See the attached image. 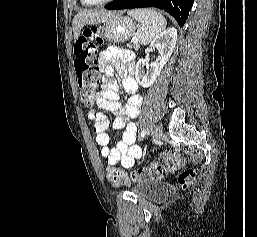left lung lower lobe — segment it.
Wrapping results in <instances>:
<instances>
[{
    "instance_id": "obj_1",
    "label": "left lung lower lobe",
    "mask_w": 257,
    "mask_h": 237,
    "mask_svg": "<svg viewBox=\"0 0 257 237\" xmlns=\"http://www.w3.org/2000/svg\"><path fill=\"white\" fill-rule=\"evenodd\" d=\"M194 0H115L105 6L108 10L156 7L172 15L179 26L186 22Z\"/></svg>"
}]
</instances>
